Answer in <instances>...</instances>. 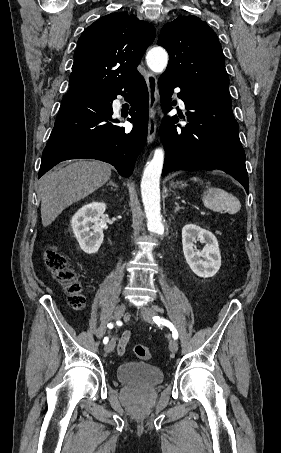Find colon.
<instances>
[{
  "label": "colon",
  "instance_id": "obj_1",
  "mask_svg": "<svg viewBox=\"0 0 281 453\" xmlns=\"http://www.w3.org/2000/svg\"><path fill=\"white\" fill-rule=\"evenodd\" d=\"M44 258L46 267L53 278L65 287L72 306L79 310L82 309L84 296L82 285L77 278L76 268L69 266L66 257L52 245L44 247ZM135 352L137 358L142 361L149 362L153 359L151 351L147 348L137 347Z\"/></svg>",
  "mask_w": 281,
  "mask_h": 453
}]
</instances>
